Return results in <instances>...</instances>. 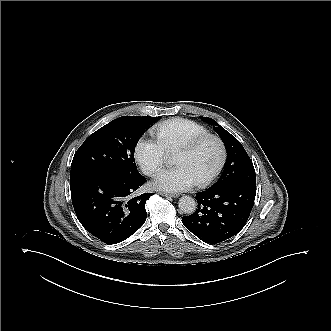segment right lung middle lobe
I'll return each instance as SVG.
<instances>
[{"mask_svg": "<svg viewBox=\"0 0 331 331\" xmlns=\"http://www.w3.org/2000/svg\"><path fill=\"white\" fill-rule=\"evenodd\" d=\"M150 124L120 117L98 129L76 151L70 179L89 171L108 172L126 181L140 177L134 150L138 137Z\"/></svg>", "mask_w": 331, "mask_h": 331, "instance_id": "obj_1", "label": "right lung middle lobe"}]
</instances>
